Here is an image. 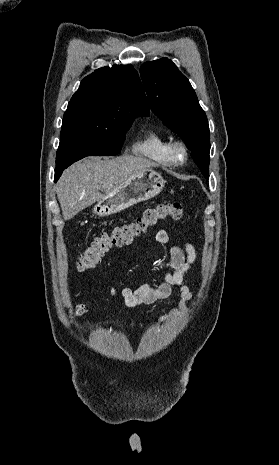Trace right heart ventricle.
I'll return each instance as SVG.
<instances>
[{"label":"right heart ventricle","mask_w":279,"mask_h":465,"mask_svg":"<svg viewBox=\"0 0 279 465\" xmlns=\"http://www.w3.org/2000/svg\"><path fill=\"white\" fill-rule=\"evenodd\" d=\"M169 143L170 140L164 133L152 127L133 144L132 150L137 155L152 159L161 165L170 166L173 162L168 151Z\"/></svg>","instance_id":"right-heart-ventricle-1"}]
</instances>
